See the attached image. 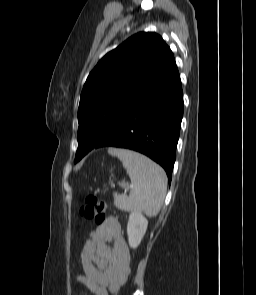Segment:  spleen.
<instances>
[{
	"mask_svg": "<svg viewBox=\"0 0 256 295\" xmlns=\"http://www.w3.org/2000/svg\"><path fill=\"white\" fill-rule=\"evenodd\" d=\"M126 168L131 179L129 196L114 193V205L124 211H143L147 216H156L163 205L167 190L164 170L146 156L131 150L109 148Z\"/></svg>",
	"mask_w": 256,
	"mask_h": 295,
	"instance_id": "obj_1",
	"label": "spleen"
}]
</instances>
